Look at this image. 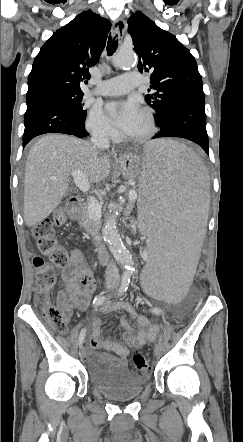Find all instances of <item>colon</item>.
Masks as SVG:
<instances>
[{
  "mask_svg": "<svg viewBox=\"0 0 243 442\" xmlns=\"http://www.w3.org/2000/svg\"><path fill=\"white\" fill-rule=\"evenodd\" d=\"M131 215L127 214L122 219L125 229L130 230L133 227ZM66 222L65 212L60 209L55 212L52 220L39 222L34 228V236L39 251L50 257L52 263L56 266H65L68 263L67 252L58 244L54 237L53 226H60ZM209 257L204 255L202 260L197 263L194 276L197 279L202 278ZM33 265L36 269V287L39 295H43V315L60 332H67L66 313L54 305L49 297V293L56 283V273L42 257L36 256L33 259ZM133 366L140 372H148L151 369V357L144 356L136 352L133 355Z\"/></svg>",
  "mask_w": 243,
  "mask_h": 442,
  "instance_id": "colon-1",
  "label": "colon"
}]
</instances>
